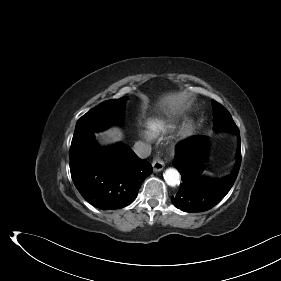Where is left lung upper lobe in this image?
Masks as SVG:
<instances>
[{
	"instance_id": "left-lung-upper-lobe-1",
	"label": "left lung upper lobe",
	"mask_w": 281,
	"mask_h": 281,
	"mask_svg": "<svg viewBox=\"0 0 281 281\" xmlns=\"http://www.w3.org/2000/svg\"><path fill=\"white\" fill-rule=\"evenodd\" d=\"M212 107L215 130H225L233 133L238 130V127L234 123L230 113L223 106L212 100Z\"/></svg>"
}]
</instances>
